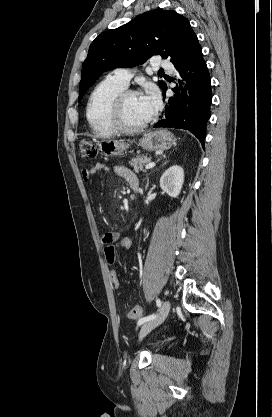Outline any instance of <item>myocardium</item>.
I'll use <instances>...</instances> for the list:
<instances>
[{
	"mask_svg": "<svg viewBox=\"0 0 272 417\" xmlns=\"http://www.w3.org/2000/svg\"><path fill=\"white\" fill-rule=\"evenodd\" d=\"M131 95H138V92L134 90H123L119 93L112 102L110 108V123L112 127L121 133H136L140 132L146 127H148L154 120V116H151L146 122L137 125V126H129L123 120V106L125 100Z\"/></svg>",
	"mask_w": 272,
	"mask_h": 417,
	"instance_id": "obj_1",
	"label": "myocardium"
}]
</instances>
